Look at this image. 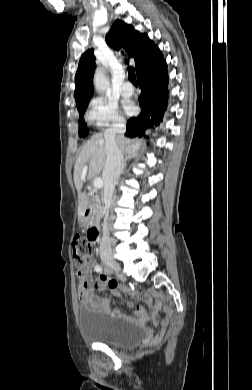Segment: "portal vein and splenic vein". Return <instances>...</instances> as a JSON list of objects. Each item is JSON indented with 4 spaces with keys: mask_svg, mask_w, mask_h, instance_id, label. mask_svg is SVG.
Instances as JSON below:
<instances>
[{
    "mask_svg": "<svg viewBox=\"0 0 252 390\" xmlns=\"http://www.w3.org/2000/svg\"><path fill=\"white\" fill-rule=\"evenodd\" d=\"M87 168H88L87 166L84 167V170L86 171ZM102 186H103V180L101 178H95V180H94V187L95 188H102Z\"/></svg>",
    "mask_w": 252,
    "mask_h": 390,
    "instance_id": "portal-vein-and-splenic-vein-1",
    "label": "portal vein and splenic vein"
}]
</instances>
